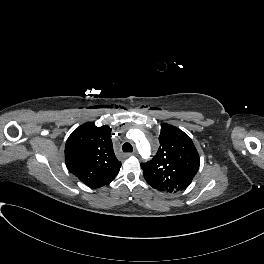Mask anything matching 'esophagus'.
Segmentation results:
<instances>
[{"label": "esophagus", "instance_id": "34e87169", "mask_svg": "<svg viewBox=\"0 0 264 264\" xmlns=\"http://www.w3.org/2000/svg\"><path fill=\"white\" fill-rule=\"evenodd\" d=\"M137 153L136 152H133V153H127L126 156L129 157V156H133V155H136Z\"/></svg>", "mask_w": 264, "mask_h": 264}]
</instances>
